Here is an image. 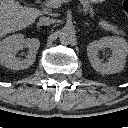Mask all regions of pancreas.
Instances as JSON below:
<instances>
[{"mask_svg": "<svg viewBox=\"0 0 128 128\" xmlns=\"http://www.w3.org/2000/svg\"><path fill=\"white\" fill-rule=\"evenodd\" d=\"M80 4L82 5L81 11L86 14H90L91 17H94V10L90 6V1L89 0H79ZM99 26L104 29L105 31H111L114 34L117 35H124L122 30H119L117 26L110 24L109 22L101 19L99 22Z\"/></svg>", "mask_w": 128, "mask_h": 128, "instance_id": "cf45deb5", "label": "pancreas"}]
</instances>
